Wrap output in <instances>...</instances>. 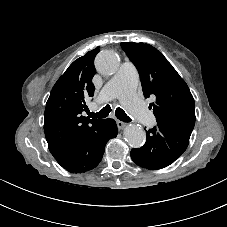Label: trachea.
Returning <instances> with one entry per match:
<instances>
[{
    "instance_id": "obj_1",
    "label": "trachea",
    "mask_w": 227,
    "mask_h": 227,
    "mask_svg": "<svg viewBox=\"0 0 227 227\" xmlns=\"http://www.w3.org/2000/svg\"><path fill=\"white\" fill-rule=\"evenodd\" d=\"M110 112H111V107L109 105H106L98 113L87 111V114L90 118H105L109 115ZM115 115L119 120H121L123 122L132 121L131 118L129 116H127V114L124 112V110L119 107L116 108Z\"/></svg>"
}]
</instances>
